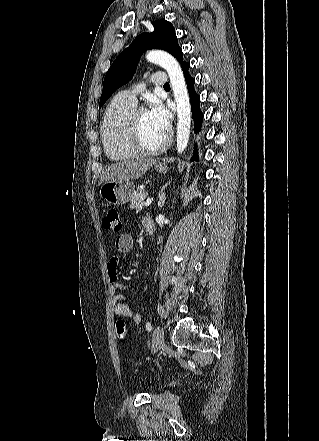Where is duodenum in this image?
<instances>
[{
	"label": "duodenum",
	"instance_id": "410a0bca",
	"mask_svg": "<svg viewBox=\"0 0 319 441\" xmlns=\"http://www.w3.org/2000/svg\"><path fill=\"white\" fill-rule=\"evenodd\" d=\"M145 229H146V232H147L149 235L153 234V232H154V225H153V223H152V222H148V223H146V224H145Z\"/></svg>",
	"mask_w": 319,
	"mask_h": 441
}]
</instances>
